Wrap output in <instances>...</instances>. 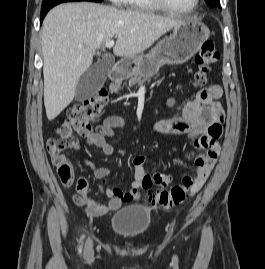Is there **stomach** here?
<instances>
[{"instance_id": "1", "label": "stomach", "mask_w": 265, "mask_h": 269, "mask_svg": "<svg viewBox=\"0 0 265 269\" xmlns=\"http://www.w3.org/2000/svg\"><path fill=\"white\" fill-rule=\"evenodd\" d=\"M209 36L210 30L204 23L193 19L183 20L149 54L126 58L121 64L130 74L149 78L164 64L178 65L187 62L200 50Z\"/></svg>"}]
</instances>
